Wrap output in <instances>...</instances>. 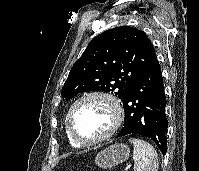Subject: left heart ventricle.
<instances>
[{"label": "left heart ventricle", "mask_w": 199, "mask_h": 171, "mask_svg": "<svg viewBox=\"0 0 199 171\" xmlns=\"http://www.w3.org/2000/svg\"><path fill=\"white\" fill-rule=\"evenodd\" d=\"M112 123L113 113L110 106L97 98L81 102L72 114L73 129L84 140L102 136Z\"/></svg>", "instance_id": "b2bd125f"}]
</instances>
